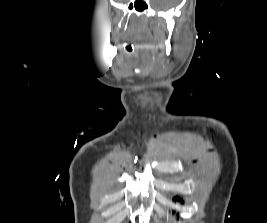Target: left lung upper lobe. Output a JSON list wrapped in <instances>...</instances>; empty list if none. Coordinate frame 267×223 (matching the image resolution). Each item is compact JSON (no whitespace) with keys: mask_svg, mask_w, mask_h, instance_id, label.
<instances>
[{"mask_svg":"<svg viewBox=\"0 0 267 223\" xmlns=\"http://www.w3.org/2000/svg\"><path fill=\"white\" fill-rule=\"evenodd\" d=\"M177 200H180V202L181 203H183L184 201H183V199H180V198H178L177 197ZM191 202V201H190ZM176 206V205H175ZM177 209V208H176ZM167 214H174V209L173 208H171V209H167Z\"/></svg>","mask_w":267,"mask_h":223,"instance_id":"obj_1","label":"left lung upper lobe"}]
</instances>
